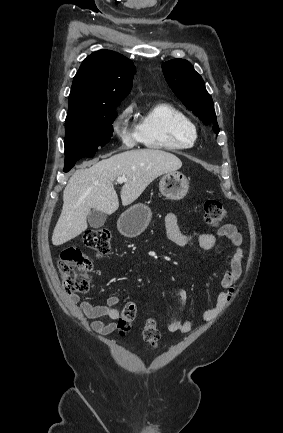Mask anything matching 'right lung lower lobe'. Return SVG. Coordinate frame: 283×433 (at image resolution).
Listing matches in <instances>:
<instances>
[{
    "label": "right lung lower lobe",
    "mask_w": 283,
    "mask_h": 433,
    "mask_svg": "<svg viewBox=\"0 0 283 433\" xmlns=\"http://www.w3.org/2000/svg\"><path fill=\"white\" fill-rule=\"evenodd\" d=\"M94 154H75V155H71V156H66L65 157V167H64V172H68L76 163L77 160H79L80 158L83 157H93Z\"/></svg>",
    "instance_id": "obj_1"
}]
</instances>
